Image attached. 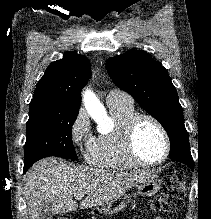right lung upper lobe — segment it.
Segmentation results:
<instances>
[{
  "label": "right lung upper lobe",
  "instance_id": "cb5924a9",
  "mask_svg": "<svg viewBox=\"0 0 211 219\" xmlns=\"http://www.w3.org/2000/svg\"><path fill=\"white\" fill-rule=\"evenodd\" d=\"M91 76L89 60L75 52L54 61L39 80L30 104H48L61 111L79 110L81 89Z\"/></svg>",
  "mask_w": 211,
  "mask_h": 219
}]
</instances>
